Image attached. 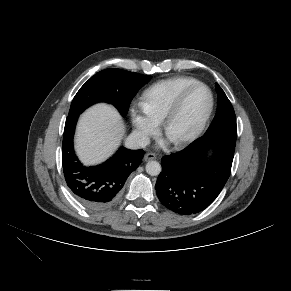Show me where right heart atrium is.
<instances>
[{
	"instance_id": "obj_1",
	"label": "right heart atrium",
	"mask_w": 291,
	"mask_h": 291,
	"mask_svg": "<svg viewBox=\"0 0 291 291\" xmlns=\"http://www.w3.org/2000/svg\"><path fill=\"white\" fill-rule=\"evenodd\" d=\"M130 119L141 143H146L151 136L157 133L158 123L149 117L141 106H133L130 109Z\"/></svg>"
}]
</instances>
